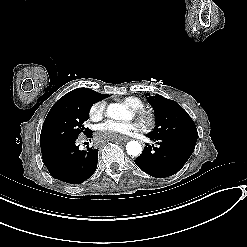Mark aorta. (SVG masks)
Wrapping results in <instances>:
<instances>
[{
    "label": "aorta",
    "mask_w": 247,
    "mask_h": 247,
    "mask_svg": "<svg viewBox=\"0 0 247 247\" xmlns=\"http://www.w3.org/2000/svg\"><path fill=\"white\" fill-rule=\"evenodd\" d=\"M106 114L108 117L115 120H126L128 119L129 112L127 108L118 103H111L108 105ZM127 153L131 156H139L142 153V146L137 141H129L126 145Z\"/></svg>",
    "instance_id": "1"
}]
</instances>
